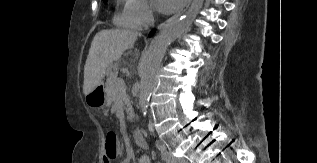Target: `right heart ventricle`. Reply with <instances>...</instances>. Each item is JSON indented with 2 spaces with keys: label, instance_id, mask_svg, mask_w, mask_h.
<instances>
[{
  "label": "right heart ventricle",
  "instance_id": "right-heart-ventricle-1",
  "mask_svg": "<svg viewBox=\"0 0 317 163\" xmlns=\"http://www.w3.org/2000/svg\"><path fill=\"white\" fill-rule=\"evenodd\" d=\"M121 9L115 14L114 22L117 26L124 28H139L132 13V6L135 0H117Z\"/></svg>",
  "mask_w": 317,
  "mask_h": 163
}]
</instances>
